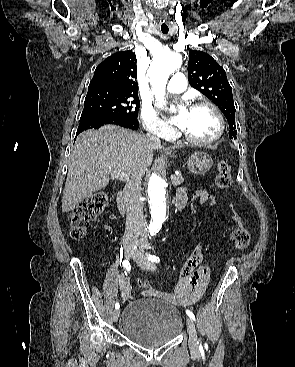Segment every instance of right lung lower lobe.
<instances>
[{"mask_svg":"<svg viewBox=\"0 0 295 367\" xmlns=\"http://www.w3.org/2000/svg\"><path fill=\"white\" fill-rule=\"evenodd\" d=\"M105 124L119 125L125 128L132 129V130H136L139 127V123L137 119H134V118L116 117V118L96 119V120L80 122L79 127L77 129L76 136L84 130L91 129V128L98 129L99 127Z\"/></svg>","mask_w":295,"mask_h":367,"instance_id":"obj_1","label":"right lung lower lobe"}]
</instances>
